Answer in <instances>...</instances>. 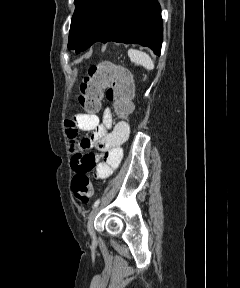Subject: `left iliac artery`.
<instances>
[{"label": "left iliac artery", "mask_w": 240, "mask_h": 288, "mask_svg": "<svg viewBox=\"0 0 240 288\" xmlns=\"http://www.w3.org/2000/svg\"><path fill=\"white\" fill-rule=\"evenodd\" d=\"M99 203H100V199H97L95 201V203L93 204V208L97 207L99 205Z\"/></svg>", "instance_id": "44dca946"}]
</instances>
